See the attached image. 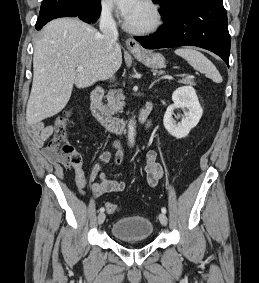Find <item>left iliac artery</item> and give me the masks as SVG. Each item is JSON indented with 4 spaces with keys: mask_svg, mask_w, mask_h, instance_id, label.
I'll return each mask as SVG.
<instances>
[{
    "mask_svg": "<svg viewBox=\"0 0 259 283\" xmlns=\"http://www.w3.org/2000/svg\"><path fill=\"white\" fill-rule=\"evenodd\" d=\"M161 211H162V213H166V208L165 207H162V209H161Z\"/></svg>",
    "mask_w": 259,
    "mask_h": 283,
    "instance_id": "left-iliac-artery-1",
    "label": "left iliac artery"
}]
</instances>
